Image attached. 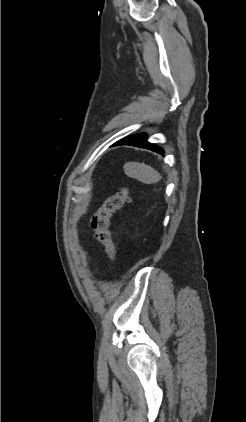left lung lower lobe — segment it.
Segmentation results:
<instances>
[{"label":"left lung lower lobe","mask_w":246,"mask_h":422,"mask_svg":"<svg viewBox=\"0 0 246 422\" xmlns=\"http://www.w3.org/2000/svg\"><path fill=\"white\" fill-rule=\"evenodd\" d=\"M146 138H147V136L145 134H142V133L135 134V135H131V136H128L126 138H123V139L117 141L112 146L131 145V146L149 149V150L157 152L159 154L164 153V150L162 148L156 146L155 144L149 143L146 140Z\"/></svg>","instance_id":"obj_1"}]
</instances>
